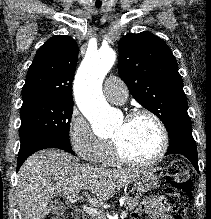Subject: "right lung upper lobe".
<instances>
[{
	"mask_svg": "<svg viewBox=\"0 0 211 219\" xmlns=\"http://www.w3.org/2000/svg\"><path fill=\"white\" fill-rule=\"evenodd\" d=\"M78 60L73 38L57 35L41 46L29 67L22 88L23 101L46 98L73 102L72 81Z\"/></svg>",
	"mask_w": 211,
	"mask_h": 219,
	"instance_id": "1",
	"label": "right lung upper lobe"
}]
</instances>
